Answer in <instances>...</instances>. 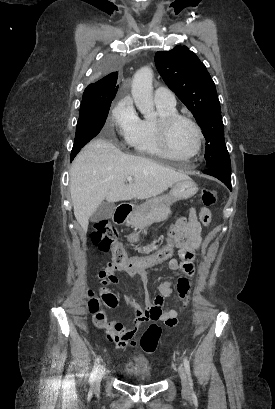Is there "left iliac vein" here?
<instances>
[{
    "label": "left iliac vein",
    "instance_id": "obj_1",
    "mask_svg": "<svg viewBox=\"0 0 275 409\" xmlns=\"http://www.w3.org/2000/svg\"><path fill=\"white\" fill-rule=\"evenodd\" d=\"M178 374L180 376L181 379V383H182V389L184 392H188L189 391V383H188V379H187V375L186 372L184 370V368L182 366H179L178 368Z\"/></svg>",
    "mask_w": 275,
    "mask_h": 409
}]
</instances>
